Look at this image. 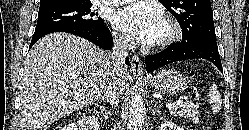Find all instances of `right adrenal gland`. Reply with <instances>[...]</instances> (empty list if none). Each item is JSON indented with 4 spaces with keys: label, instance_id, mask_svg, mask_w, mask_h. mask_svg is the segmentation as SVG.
Wrapping results in <instances>:
<instances>
[{
    "label": "right adrenal gland",
    "instance_id": "right-adrenal-gland-1",
    "mask_svg": "<svg viewBox=\"0 0 249 130\" xmlns=\"http://www.w3.org/2000/svg\"><path fill=\"white\" fill-rule=\"evenodd\" d=\"M96 106H97V107L99 108V110L101 111V114H105L104 117H107L108 112H107L106 108H105L104 106L98 105V104H96Z\"/></svg>",
    "mask_w": 249,
    "mask_h": 130
}]
</instances>
